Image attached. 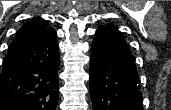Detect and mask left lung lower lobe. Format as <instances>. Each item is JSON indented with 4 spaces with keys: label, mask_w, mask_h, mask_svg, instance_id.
<instances>
[{
    "label": "left lung lower lobe",
    "mask_w": 171,
    "mask_h": 110,
    "mask_svg": "<svg viewBox=\"0 0 171 110\" xmlns=\"http://www.w3.org/2000/svg\"><path fill=\"white\" fill-rule=\"evenodd\" d=\"M95 34L90 61L93 110H141L135 57L122 34L112 24L98 28Z\"/></svg>",
    "instance_id": "1"
}]
</instances>
